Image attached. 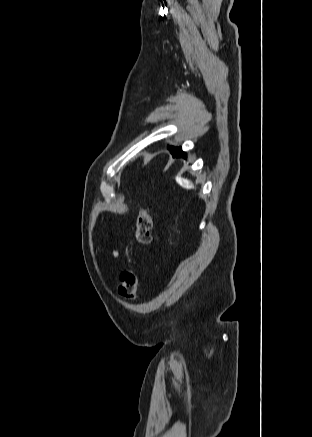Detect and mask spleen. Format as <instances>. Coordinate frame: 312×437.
Wrapping results in <instances>:
<instances>
[{
    "instance_id": "spleen-1",
    "label": "spleen",
    "mask_w": 312,
    "mask_h": 437,
    "mask_svg": "<svg viewBox=\"0 0 312 437\" xmlns=\"http://www.w3.org/2000/svg\"><path fill=\"white\" fill-rule=\"evenodd\" d=\"M177 182H178L179 184L185 186L186 188H193V185H192L189 181H187V180H185V179L178 178V179H177Z\"/></svg>"
}]
</instances>
